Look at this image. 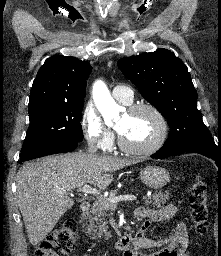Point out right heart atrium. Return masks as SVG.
Listing matches in <instances>:
<instances>
[{"mask_svg": "<svg viewBox=\"0 0 221 256\" xmlns=\"http://www.w3.org/2000/svg\"><path fill=\"white\" fill-rule=\"evenodd\" d=\"M81 128L86 141L101 150L109 149L114 141L113 132L105 125L92 102H88L81 113Z\"/></svg>", "mask_w": 221, "mask_h": 256, "instance_id": "right-heart-atrium-1", "label": "right heart atrium"}]
</instances>
